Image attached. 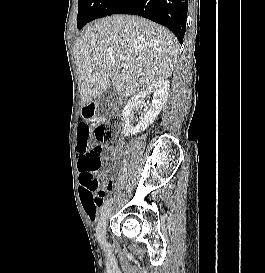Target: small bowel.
<instances>
[{
  "label": "small bowel",
  "mask_w": 265,
  "mask_h": 273,
  "mask_svg": "<svg viewBox=\"0 0 265 273\" xmlns=\"http://www.w3.org/2000/svg\"><path fill=\"white\" fill-rule=\"evenodd\" d=\"M86 107H89V104H86ZM85 114H82V119H93V110L85 109ZM95 124H78V129H95ZM113 155L115 158L121 157L122 153L119 150H114ZM80 162V156L78 155V167ZM110 184L109 186L107 184ZM104 187L109 189L112 185V181L110 179L104 182ZM106 202V191L104 190V195H97L90 192H85L82 195V206L85 214L89 219L95 220L97 217L98 209L103 206Z\"/></svg>",
  "instance_id": "c3829d8e"
}]
</instances>
